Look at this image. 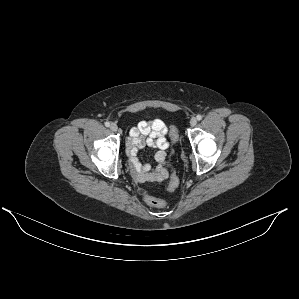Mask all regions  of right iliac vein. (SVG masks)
I'll use <instances>...</instances> for the list:
<instances>
[{"mask_svg": "<svg viewBox=\"0 0 299 299\" xmlns=\"http://www.w3.org/2000/svg\"><path fill=\"white\" fill-rule=\"evenodd\" d=\"M110 129H111V131L116 132L118 130V126L116 124L112 123L110 125Z\"/></svg>", "mask_w": 299, "mask_h": 299, "instance_id": "obj_1", "label": "right iliac vein"}]
</instances>
